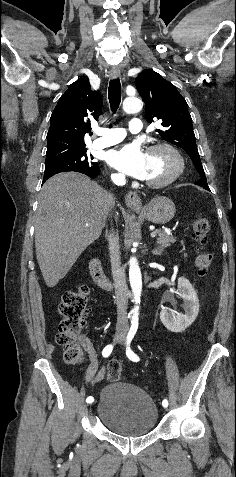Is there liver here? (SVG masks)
I'll list each match as a JSON object with an SVG mask.
<instances>
[{"mask_svg":"<svg viewBox=\"0 0 236 477\" xmlns=\"http://www.w3.org/2000/svg\"><path fill=\"white\" fill-rule=\"evenodd\" d=\"M112 195L88 177L60 173L39 194L35 218L36 256L44 281L54 287L105 226Z\"/></svg>","mask_w":236,"mask_h":477,"instance_id":"liver-1","label":"liver"}]
</instances>
